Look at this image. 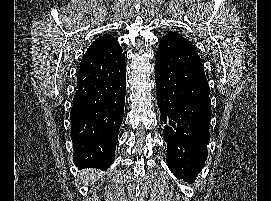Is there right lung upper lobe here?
<instances>
[{
  "mask_svg": "<svg viewBox=\"0 0 271 201\" xmlns=\"http://www.w3.org/2000/svg\"><path fill=\"white\" fill-rule=\"evenodd\" d=\"M104 38H105V39H108V38L114 39V38H112L111 36H107V35H105Z\"/></svg>",
  "mask_w": 271,
  "mask_h": 201,
  "instance_id": "1",
  "label": "right lung upper lobe"
}]
</instances>
